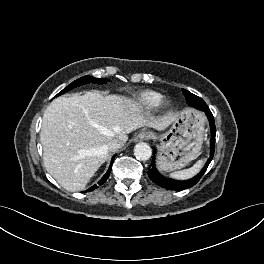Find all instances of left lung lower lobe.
I'll list each match as a JSON object with an SVG mask.
<instances>
[{"label":"left lung lower lobe","instance_id":"0a47b994","mask_svg":"<svg viewBox=\"0 0 264 264\" xmlns=\"http://www.w3.org/2000/svg\"><path fill=\"white\" fill-rule=\"evenodd\" d=\"M198 107L200 108L199 110H202L206 113V115L210 121V127H211L210 157H209L208 161L206 162L205 166L203 167V169L201 170V172L198 175H196L194 178L187 180V181H176V180H172V179L163 177L156 170L154 162H152V165L150 166L151 168L148 171V176L154 183H156L157 185H159L165 189H168V190H184V189H187V188L194 186L200 180V178L203 176V174L205 173L208 165L210 164V162L213 158L214 150H215V135H216L214 117H213L210 109L208 108V106H205V107L198 106Z\"/></svg>","mask_w":264,"mask_h":264}]
</instances>
